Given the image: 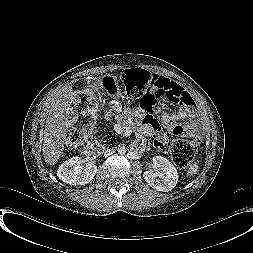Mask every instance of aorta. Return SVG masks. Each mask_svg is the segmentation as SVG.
<instances>
[{"mask_svg": "<svg viewBox=\"0 0 253 253\" xmlns=\"http://www.w3.org/2000/svg\"><path fill=\"white\" fill-rule=\"evenodd\" d=\"M117 151L122 155L126 153V148L124 146H119Z\"/></svg>", "mask_w": 253, "mask_h": 253, "instance_id": "aorta-1", "label": "aorta"}]
</instances>
